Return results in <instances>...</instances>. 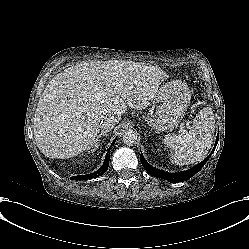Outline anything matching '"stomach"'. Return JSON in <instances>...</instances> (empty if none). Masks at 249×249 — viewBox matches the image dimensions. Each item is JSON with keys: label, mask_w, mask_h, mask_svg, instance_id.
Here are the masks:
<instances>
[{"label": "stomach", "mask_w": 249, "mask_h": 249, "mask_svg": "<svg viewBox=\"0 0 249 249\" xmlns=\"http://www.w3.org/2000/svg\"><path fill=\"white\" fill-rule=\"evenodd\" d=\"M157 99L159 106L154 116L145 117V121L157 131H172L179 125L190 104L191 92L185 84L171 82L159 89Z\"/></svg>", "instance_id": "1"}]
</instances>
